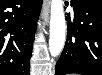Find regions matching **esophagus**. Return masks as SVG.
Returning a JSON list of instances; mask_svg holds the SVG:
<instances>
[{"instance_id":"34e87169","label":"esophagus","mask_w":102,"mask_h":75,"mask_svg":"<svg viewBox=\"0 0 102 75\" xmlns=\"http://www.w3.org/2000/svg\"><path fill=\"white\" fill-rule=\"evenodd\" d=\"M49 8H50V0H44L43 2V12H42V19L44 20V23H48L49 19Z\"/></svg>"}]
</instances>
